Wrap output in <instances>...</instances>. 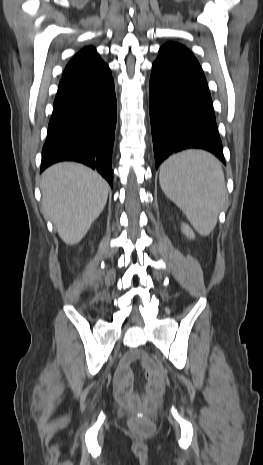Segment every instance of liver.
<instances>
[{
	"instance_id": "6515ba94",
	"label": "liver",
	"mask_w": 263,
	"mask_h": 465,
	"mask_svg": "<svg viewBox=\"0 0 263 465\" xmlns=\"http://www.w3.org/2000/svg\"><path fill=\"white\" fill-rule=\"evenodd\" d=\"M40 188L45 216L50 218L61 239L79 243L103 211L109 185L88 167L63 162L42 174Z\"/></svg>"
}]
</instances>
